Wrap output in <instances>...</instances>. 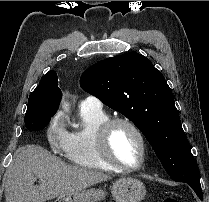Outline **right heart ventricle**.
<instances>
[{
    "label": "right heart ventricle",
    "instance_id": "1",
    "mask_svg": "<svg viewBox=\"0 0 209 202\" xmlns=\"http://www.w3.org/2000/svg\"><path fill=\"white\" fill-rule=\"evenodd\" d=\"M81 128L69 133L64 150L66 160L82 168L115 171L108 166L96 147V133L100 126L109 119L101 109L80 108Z\"/></svg>",
    "mask_w": 209,
    "mask_h": 202
}]
</instances>
